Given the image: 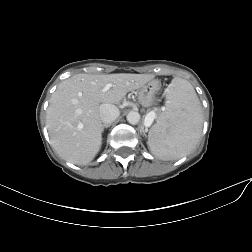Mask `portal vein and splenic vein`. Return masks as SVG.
<instances>
[{
	"label": "portal vein and splenic vein",
	"instance_id": "1",
	"mask_svg": "<svg viewBox=\"0 0 252 252\" xmlns=\"http://www.w3.org/2000/svg\"><path fill=\"white\" fill-rule=\"evenodd\" d=\"M111 84H108L104 87L103 91H108L111 88ZM156 118V113L155 111L149 112L146 117H145V126H150L154 119Z\"/></svg>",
	"mask_w": 252,
	"mask_h": 252
}]
</instances>
